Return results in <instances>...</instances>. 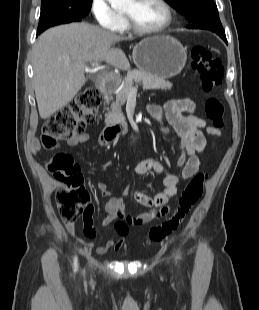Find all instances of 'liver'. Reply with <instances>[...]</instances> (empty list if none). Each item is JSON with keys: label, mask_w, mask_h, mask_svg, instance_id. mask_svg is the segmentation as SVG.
<instances>
[{"label": "liver", "mask_w": 259, "mask_h": 310, "mask_svg": "<svg viewBox=\"0 0 259 310\" xmlns=\"http://www.w3.org/2000/svg\"><path fill=\"white\" fill-rule=\"evenodd\" d=\"M122 40L121 36L87 23L53 27L40 35L32 50L40 117L49 118L75 97L86 82L87 62L104 60L119 69H129L125 53L113 47Z\"/></svg>", "instance_id": "obj_1"}]
</instances>
